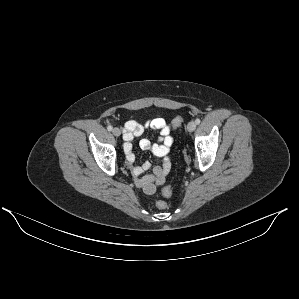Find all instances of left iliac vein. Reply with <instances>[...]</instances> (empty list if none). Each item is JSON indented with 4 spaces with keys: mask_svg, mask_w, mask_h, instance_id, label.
I'll list each match as a JSON object with an SVG mask.
<instances>
[{
    "mask_svg": "<svg viewBox=\"0 0 299 299\" xmlns=\"http://www.w3.org/2000/svg\"><path fill=\"white\" fill-rule=\"evenodd\" d=\"M195 128H196V123L194 121H191L188 123L187 130L189 132H193L195 130Z\"/></svg>",
    "mask_w": 299,
    "mask_h": 299,
    "instance_id": "left-iliac-vein-1",
    "label": "left iliac vein"
}]
</instances>
